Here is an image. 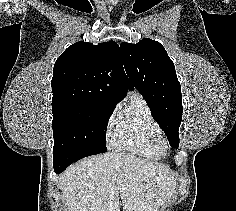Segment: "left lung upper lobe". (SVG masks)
I'll return each instance as SVG.
<instances>
[{
	"label": "left lung upper lobe",
	"instance_id": "1",
	"mask_svg": "<svg viewBox=\"0 0 236 211\" xmlns=\"http://www.w3.org/2000/svg\"><path fill=\"white\" fill-rule=\"evenodd\" d=\"M120 48L130 87L143 95L170 145L178 148L183 106L174 63L159 42L148 38Z\"/></svg>",
	"mask_w": 236,
	"mask_h": 211
}]
</instances>
